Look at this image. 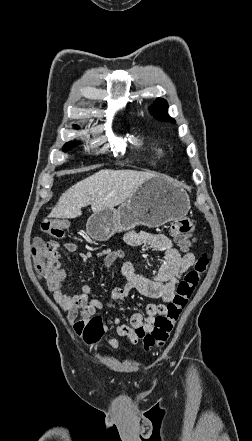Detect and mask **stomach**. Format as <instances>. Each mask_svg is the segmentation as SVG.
<instances>
[{
	"mask_svg": "<svg viewBox=\"0 0 252 441\" xmlns=\"http://www.w3.org/2000/svg\"><path fill=\"white\" fill-rule=\"evenodd\" d=\"M190 209L189 196L172 179L154 175L117 209L95 212L86 228L92 239L106 241L116 232L129 230L136 225L159 227L186 216Z\"/></svg>",
	"mask_w": 252,
	"mask_h": 441,
	"instance_id": "stomach-1",
	"label": "stomach"
}]
</instances>
